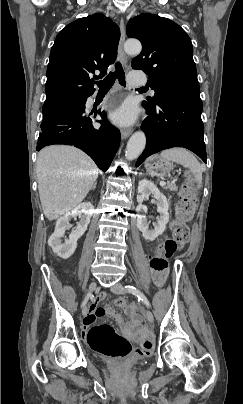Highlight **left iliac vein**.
Wrapping results in <instances>:
<instances>
[{
	"label": "left iliac vein",
	"mask_w": 243,
	"mask_h": 404,
	"mask_svg": "<svg viewBox=\"0 0 243 404\" xmlns=\"http://www.w3.org/2000/svg\"><path fill=\"white\" fill-rule=\"evenodd\" d=\"M110 289L113 293H116V294H124L126 292L123 289L122 284H120V283L114 284ZM145 315H146L148 322L153 323L154 317H153L152 312L149 309H147L145 311Z\"/></svg>",
	"instance_id": "4c4485c4"
}]
</instances>
